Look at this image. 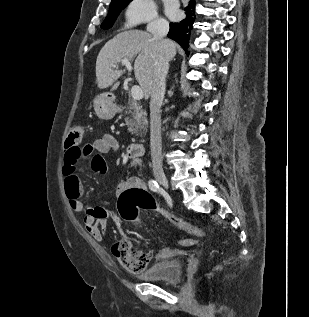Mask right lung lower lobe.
Wrapping results in <instances>:
<instances>
[{
	"label": "right lung lower lobe",
	"mask_w": 309,
	"mask_h": 317,
	"mask_svg": "<svg viewBox=\"0 0 309 317\" xmlns=\"http://www.w3.org/2000/svg\"><path fill=\"white\" fill-rule=\"evenodd\" d=\"M195 1L189 2V5L185 8L186 18L180 23L173 24L170 23V30L168 37L175 40L181 47L185 50L186 54H189L187 50L189 46V37L193 23L195 21Z\"/></svg>",
	"instance_id": "obj_1"
}]
</instances>
